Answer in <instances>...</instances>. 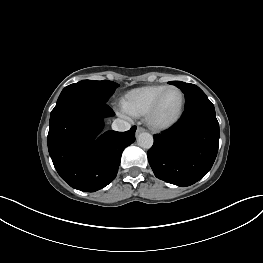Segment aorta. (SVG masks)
<instances>
[{"mask_svg": "<svg viewBox=\"0 0 263 263\" xmlns=\"http://www.w3.org/2000/svg\"><path fill=\"white\" fill-rule=\"evenodd\" d=\"M138 145L144 149H149L153 145V136L147 132H142L138 135Z\"/></svg>", "mask_w": 263, "mask_h": 263, "instance_id": "762f6f07", "label": "aorta"}]
</instances>
